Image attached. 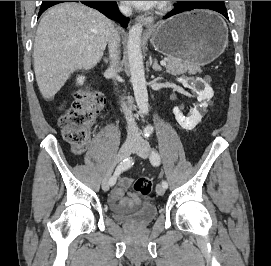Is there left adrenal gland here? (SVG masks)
I'll use <instances>...</instances> for the list:
<instances>
[{"mask_svg": "<svg viewBox=\"0 0 271 266\" xmlns=\"http://www.w3.org/2000/svg\"><path fill=\"white\" fill-rule=\"evenodd\" d=\"M149 61H150V65H152V68L154 71H158V72H161L162 71V68L161 66H159L157 60L155 59L154 62H152V59L151 57L149 58Z\"/></svg>", "mask_w": 271, "mask_h": 266, "instance_id": "left-adrenal-gland-1", "label": "left adrenal gland"}]
</instances>
